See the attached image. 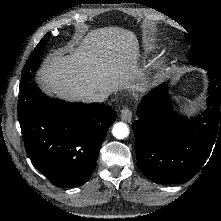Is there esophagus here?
<instances>
[{
  "instance_id": "obj_1",
  "label": "esophagus",
  "mask_w": 221,
  "mask_h": 221,
  "mask_svg": "<svg viewBox=\"0 0 221 221\" xmlns=\"http://www.w3.org/2000/svg\"><path fill=\"white\" fill-rule=\"evenodd\" d=\"M120 118L122 121L131 122L132 120V111L129 108H124L121 110Z\"/></svg>"
}]
</instances>
